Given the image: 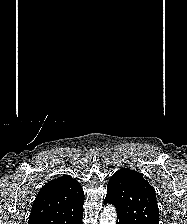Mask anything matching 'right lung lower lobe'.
<instances>
[{
  "mask_svg": "<svg viewBox=\"0 0 187 224\" xmlns=\"http://www.w3.org/2000/svg\"><path fill=\"white\" fill-rule=\"evenodd\" d=\"M70 224H82V216H80L74 220H71Z\"/></svg>",
  "mask_w": 187,
  "mask_h": 224,
  "instance_id": "obj_1",
  "label": "right lung lower lobe"
}]
</instances>
